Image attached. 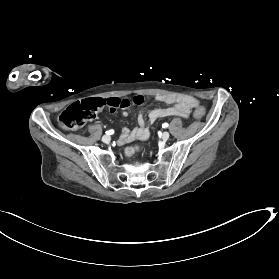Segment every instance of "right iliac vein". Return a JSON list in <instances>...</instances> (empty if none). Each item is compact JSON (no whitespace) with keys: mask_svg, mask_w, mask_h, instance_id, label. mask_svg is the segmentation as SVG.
Here are the masks:
<instances>
[{"mask_svg":"<svg viewBox=\"0 0 279 279\" xmlns=\"http://www.w3.org/2000/svg\"><path fill=\"white\" fill-rule=\"evenodd\" d=\"M102 141H103L104 143H109V142L111 141V137H110L109 135H104V136L102 137Z\"/></svg>","mask_w":279,"mask_h":279,"instance_id":"right-iliac-vein-1","label":"right iliac vein"}]
</instances>
